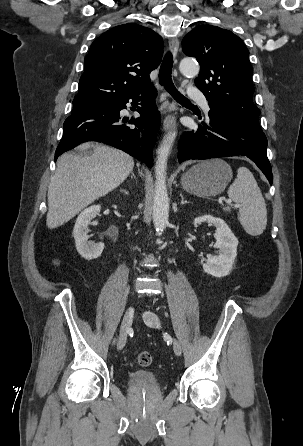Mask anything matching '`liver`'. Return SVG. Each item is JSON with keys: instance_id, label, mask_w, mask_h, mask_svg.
I'll return each mask as SVG.
<instances>
[{"instance_id": "1", "label": "liver", "mask_w": 303, "mask_h": 446, "mask_svg": "<svg viewBox=\"0 0 303 446\" xmlns=\"http://www.w3.org/2000/svg\"><path fill=\"white\" fill-rule=\"evenodd\" d=\"M93 153L63 154L48 188L46 225L57 228L83 208L117 188L132 172L134 160L127 153L102 144L85 143L77 149Z\"/></svg>"}]
</instances>
